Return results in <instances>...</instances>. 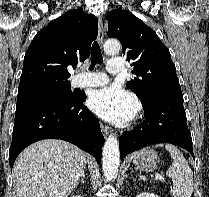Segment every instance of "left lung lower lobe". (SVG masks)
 Instances as JSON below:
<instances>
[{
	"instance_id": "1",
	"label": "left lung lower lobe",
	"mask_w": 209,
	"mask_h": 197,
	"mask_svg": "<svg viewBox=\"0 0 209 197\" xmlns=\"http://www.w3.org/2000/svg\"><path fill=\"white\" fill-rule=\"evenodd\" d=\"M182 95H160L142 103L145 120L120 140V158L146 145L171 143L188 150L194 157Z\"/></svg>"
}]
</instances>
